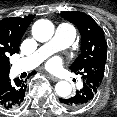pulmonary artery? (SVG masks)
I'll use <instances>...</instances> for the list:
<instances>
[{
    "mask_svg": "<svg viewBox=\"0 0 117 117\" xmlns=\"http://www.w3.org/2000/svg\"><path fill=\"white\" fill-rule=\"evenodd\" d=\"M76 37V31L69 23H60L53 38L41 46L30 56L18 60L15 64V71H27L38 66L45 58L53 52L69 47Z\"/></svg>",
    "mask_w": 117,
    "mask_h": 117,
    "instance_id": "pulmonary-artery-1",
    "label": "pulmonary artery"
}]
</instances>
